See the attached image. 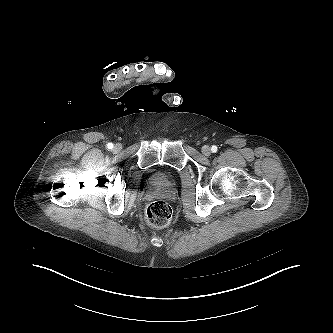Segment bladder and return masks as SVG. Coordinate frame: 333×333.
<instances>
[{
  "mask_svg": "<svg viewBox=\"0 0 333 333\" xmlns=\"http://www.w3.org/2000/svg\"><path fill=\"white\" fill-rule=\"evenodd\" d=\"M164 175H165V176H169V174H167V173H166V174H164Z\"/></svg>",
  "mask_w": 333,
  "mask_h": 333,
  "instance_id": "31cf9c89",
  "label": "bladder"
}]
</instances>
